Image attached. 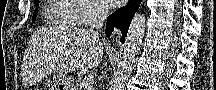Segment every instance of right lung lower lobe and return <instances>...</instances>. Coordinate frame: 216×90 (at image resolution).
<instances>
[{
    "label": "right lung lower lobe",
    "instance_id": "1",
    "mask_svg": "<svg viewBox=\"0 0 216 90\" xmlns=\"http://www.w3.org/2000/svg\"><path fill=\"white\" fill-rule=\"evenodd\" d=\"M141 0H130L126 7H123L110 15L107 19L106 36L110 37L114 26L119 28L123 34L122 42L125 40L131 20L140 6Z\"/></svg>",
    "mask_w": 216,
    "mask_h": 90
}]
</instances>
